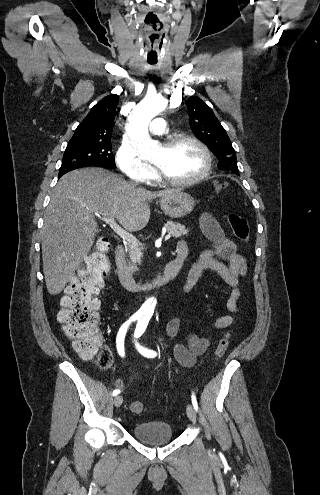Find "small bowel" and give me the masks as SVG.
<instances>
[{"label":"small bowel","instance_id":"c3829d8e","mask_svg":"<svg viewBox=\"0 0 320 495\" xmlns=\"http://www.w3.org/2000/svg\"><path fill=\"white\" fill-rule=\"evenodd\" d=\"M201 228L206 238L211 242L212 248L205 250L199 260L191 267L184 292L189 293L197 284L205 270L214 271L221 277L232 291L227 301V309L230 314L220 316L208 325L214 329H224L234 322L235 314L239 312L237 304L241 295L239 278L247 272V263L243 255L237 251V245L227 237L219 223L209 214L201 218ZM177 248H186L184 241L179 242ZM181 330V317L176 315L165 326V333L169 339H174ZM210 346L209 339L189 331L185 333V344H175L173 354L177 362L183 367L190 368L196 363L199 356L206 353Z\"/></svg>","mask_w":320,"mask_h":495}]
</instances>
